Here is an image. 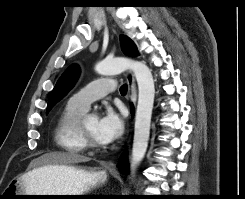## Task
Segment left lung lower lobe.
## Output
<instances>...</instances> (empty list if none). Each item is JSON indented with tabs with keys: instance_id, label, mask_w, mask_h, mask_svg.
<instances>
[{
	"instance_id": "1",
	"label": "left lung lower lobe",
	"mask_w": 245,
	"mask_h": 199,
	"mask_svg": "<svg viewBox=\"0 0 245 199\" xmlns=\"http://www.w3.org/2000/svg\"><path fill=\"white\" fill-rule=\"evenodd\" d=\"M132 114H133V107H132ZM119 168H121V171L123 173H127L128 172V164H127V159H126V154L124 153L121 156L120 162L118 164Z\"/></svg>"
}]
</instances>
